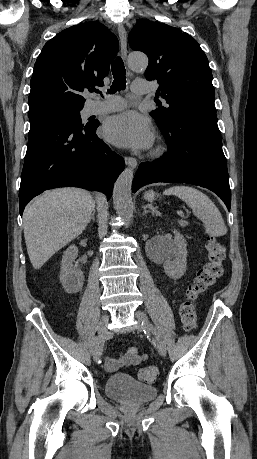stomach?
Wrapping results in <instances>:
<instances>
[{"label":"stomach","mask_w":257,"mask_h":459,"mask_svg":"<svg viewBox=\"0 0 257 459\" xmlns=\"http://www.w3.org/2000/svg\"><path fill=\"white\" fill-rule=\"evenodd\" d=\"M144 198L148 201H152L155 198V193L153 191H148L145 193Z\"/></svg>","instance_id":"1"}]
</instances>
